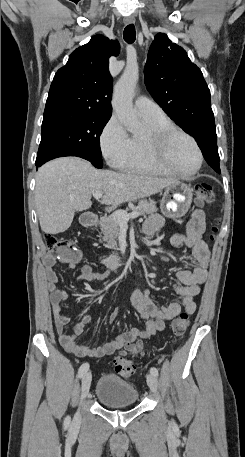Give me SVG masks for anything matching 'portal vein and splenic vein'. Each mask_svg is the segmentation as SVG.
<instances>
[{"instance_id": "obj_1", "label": "portal vein and splenic vein", "mask_w": 245, "mask_h": 457, "mask_svg": "<svg viewBox=\"0 0 245 457\" xmlns=\"http://www.w3.org/2000/svg\"><path fill=\"white\" fill-rule=\"evenodd\" d=\"M102 194H104V192H100V190H95V192H93V196L94 198H97V200L101 198ZM113 214L114 216H117L118 220H120V224L121 222H123V224H127L129 218H136V216H139L140 212L134 210V212L127 214L126 210H115Z\"/></svg>"}]
</instances>
